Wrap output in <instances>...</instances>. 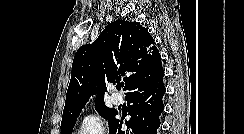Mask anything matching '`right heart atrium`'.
I'll list each match as a JSON object with an SVG mask.
<instances>
[{
    "mask_svg": "<svg viewBox=\"0 0 244 134\" xmlns=\"http://www.w3.org/2000/svg\"><path fill=\"white\" fill-rule=\"evenodd\" d=\"M76 134H107V124L99 113H90L84 116Z\"/></svg>",
    "mask_w": 244,
    "mask_h": 134,
    "instance_id": "obj_1",
    "label": "right heart atrium"
}]
</instances>
